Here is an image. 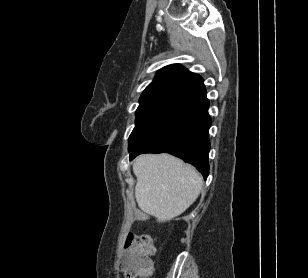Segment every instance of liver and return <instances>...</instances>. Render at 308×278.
<instances>
[{
	"label": "liver",
	"mask_w": 308,
	"mask_h": 278,
	"mask_svg": "<svg viewBox=\"0 0 308 278\" xmlns=\"http://www.w3.org/2000/svg\"><path fill=\"white\" fill-rule=\"evenodd\" d=\"M133 172L138 206L158 222L182 214L198 198L203 186L193 166L169 154L140 155L134 161Z\"/></svg>",
	"instance_id": "1"
}]
</instances>
